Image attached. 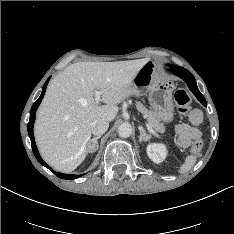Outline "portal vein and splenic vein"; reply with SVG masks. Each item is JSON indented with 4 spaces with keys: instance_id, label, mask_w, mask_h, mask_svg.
I'll list each match as a JSON object with an SVG mask.
<instances>
[{
    "instance_id": "portal-vein-and-splenic-vein-1",
    "label": "portal vein and splenic vein",
    "mask_w": 234,
    "mask_h": 234,
    "mask_svg": "<svg viewBox=\"0 0 234 234\" xmlns=\"http://www.w3.org/2000/svg\"><path fill=\"white\" fill-rule=\"evenodd\" d=\"M100 97H101V92L100 91H96L95 92V101L98 103L100 101ZM147 128L148 130L155 136L159 137V135L152 129V127L147 124Z\"/></svg>"
}]
</instances>
